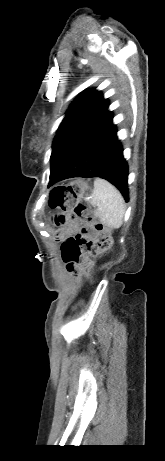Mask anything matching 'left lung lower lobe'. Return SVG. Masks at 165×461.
<instances>
[{
  "label": "left lung lower lobe",
  "mask_w": 165,
  "mask_h": 461,
  "mask_svg": "<svg viewBox=\"0 0 165 461\" xmlns=\"http://www.w3.org/2000/svg\"><path fill=\"white\" fill-rule=\"evenodd\" d=\"M112 117V112L106 111L80 138L58 165L48 186L72 177H100L115 185L128 200V165Z\"/></svg>",
  "instance_id": "left-lung-lower-lobe-1"
}]
</instances>
